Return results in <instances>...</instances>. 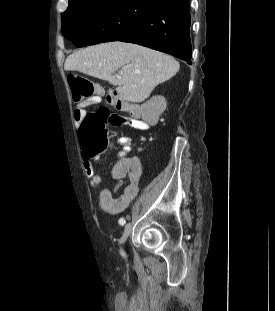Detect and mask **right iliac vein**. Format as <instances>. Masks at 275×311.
<instances>
[{
  "instance_id": "right-iliac-vein-1",
  "label": "right iliac vein",
  "mask_w": 275,
  "mask_h": 311,
  "mask_svg": "<svg viewBox=\"0 0 275 311\" xmlns=\"http://www.w3.org/2000/svg\"><path fill=\"white\" fill-rule=\"evenodd\" d=\"M131 228H132L131 223H127L126 226H125V228H124L123 235H122V237H121V244H122V245L126 242L128 236L130 235ZM122 253L124 254V251H123V250H122Z\"/></svg>"
}]
</instances>
